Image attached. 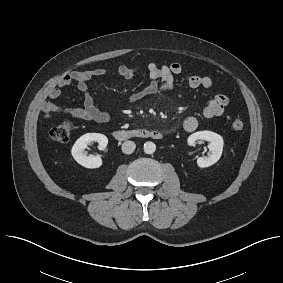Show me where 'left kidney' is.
<instances>
[{"label": "left kidney", "instance_id": "5707ae66", "mask_svg": "<svg viewBox=\"0 0 283 283\" xmlns=\"http://www.w3.org/2000/svg\"><path fill=\"white\" fill-rule=\"evenodd\" d=\"M197 140H204L209 142L208 156L199 157L197 159V165L200 168L212 166L220 159L222 155L224 145L222 136L212 131L195 132L188 137V145L194 146Z\"/></svg>", "mask_w": 283, "mask_h": 283}]
</instances>
